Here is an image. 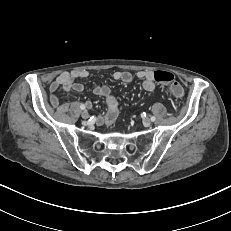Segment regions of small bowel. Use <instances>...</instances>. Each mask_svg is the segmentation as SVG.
I'll use <instances>...</instances> for the list:
<instances>
[{
  "label": "small bowel",
  "instance_id": "small-bowel-1",
  "mask_svg": "<svg viewBox=\"0 0 231 231\" xmlns=\"http://www.w3.org/2000/svg\"><path fill=\"white\" fill-rule=\"evenodd\" d=\"M90 75L88 70H73L71 72L61 73L50 86V101L52 105L58 106L59 99L57 92L59 89H63L65 92H81L85 89L84 85L77 82L79 79H85ZM114 80L124 83H130L133 81V74L128 71H116L112 75ZM136 77L141 80L142 87L148 92L155 90L156 85L153 79V72L149 70H140L136 73ZM92 92L100 97L105 98L107 110L98 119L99 124L111 125L117 118L119 104L117 98L111 93V90L106 85L96 86L92 89ZM87 108L92 107L91 102H86ZM68 104H62L59 106L60 111H66Z\"/></svg>",
  "mask_w": 231,
  "mask_h": 231
}]
</instances>
